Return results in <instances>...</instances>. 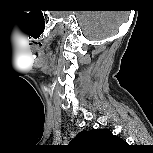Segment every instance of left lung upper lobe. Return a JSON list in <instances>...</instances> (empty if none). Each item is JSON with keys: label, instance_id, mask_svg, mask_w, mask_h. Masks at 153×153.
I'll return each mask as SVG.
<instances>
[{"label": "left lung upper lobe", "instance_id": "obj_1", "mask_svg": "<svg viewBox=\"0 0 153 153\" xmlns=\"http://www.w3.org/2000/svg\"><path fill=\"white\" fill-rule=\"evenodd\" d=\"M70 145L91 152H104L121 148L126 143L121 138L114 136L109 130L94 129L92 131L80 132L70 142Z\"/></svg>", "mask_w": 153, "mask_h": 153}]
</instances>
